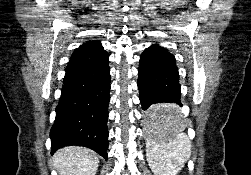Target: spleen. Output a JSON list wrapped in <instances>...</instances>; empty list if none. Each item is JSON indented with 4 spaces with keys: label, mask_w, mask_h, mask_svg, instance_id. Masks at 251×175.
<instances>
[{
    "label": "spleen",
    "mask_w": 251,
    "mask_h": 175,
    "mask_svg": "<svg viewBox=\"0 0 251 175\" xmlns=\"http://www.w3.org/2000/svg\"><path fill=\"white\" fill-rule=\"evenodd\" d=\"M149 141L146 155L154 175H176L184 167L191 155V141L182 133L185 129L181 123L178 109L157 107L147 113Z\"/></svg>",
    "instance_id": "3e777b00"
}]
</instances>
